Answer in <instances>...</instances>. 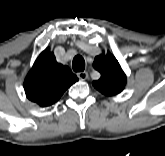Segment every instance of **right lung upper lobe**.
Returning a JSON list of instances; mask_svg holds the SVG:
<instances>
[{
  "label": "right lung upper lobe",
  "mask_w": 165,
  "mask_h": 156,
  "mask_svg": "<svg viewBox=\"0 0 165 156\" xmlns=\"http://www.w3.org/2000/svg\"><path fill=\"white\" fill-rule=\"evenodd\" d=\"M76 81L78 78L70 68L58 63L54 54L46 48L28 73L24 89L29 100L44 107L57 102Z\"/></svg>",
  "instance_id": "right-lung-upper-lobe-1"
}]
</instances>
